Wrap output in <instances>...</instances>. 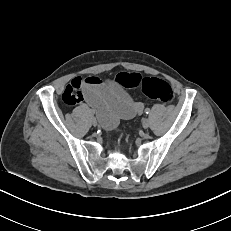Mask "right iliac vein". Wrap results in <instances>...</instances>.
Masks as SVG:
<instances>
[{"instance_id": "1", "label": "right iliac vein", "mask_w": 231, "mask_h": 231, "mask_svg": "<svg viewBox=\"0 0 231 231\" xmlns=\"http://www.w3.org/2000/svg\"><path fill=\"white\" fill-rule=\"evenodd\" d=\"M91 123H92L93 126H97L98 122H97L95 117L91 118Z\"/></svg>"}]
</instances>
